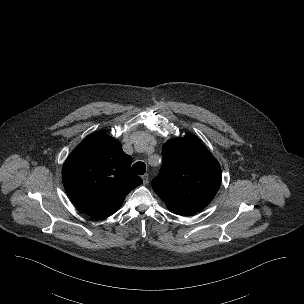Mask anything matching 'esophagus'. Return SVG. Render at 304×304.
Listing matches in <instances>:
<instances>
[{
    "label": "esophagus",
    "instance_id": "1",
    "mask_svg": "<svg viewBox=\"0 0 304 304\" xmlns=\"http://www.w3.org/2000/svg\"><path fill=\"white\" fill-rule=\"evenodd\" d=\"M142 180H143V184L146 185L148 183V181H149V175L148 174H144L142 176Z\"/></svg>",
    "mask_w": 304,
    "mask_h": 304
}]
</instances>
